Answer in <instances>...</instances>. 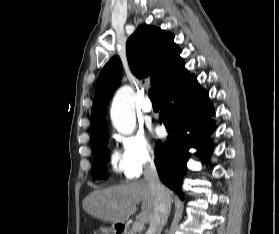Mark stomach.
<instances>
[{
    "instance_id": "1",
    "label": "stomach",
    "mask_w": 279,
    "mask_h": 234,
    "mask_svg": "<svg viewBox=\"0 0 279 234\" xmlns=\"http://www.w3.org/2000/svg\"><path fill=\"white\" fill-rule=\"evenodd\" d=\"M118 223H113L110 227H100L102 234H116L118 232Z\"/></svg>"
}]
</instances>
